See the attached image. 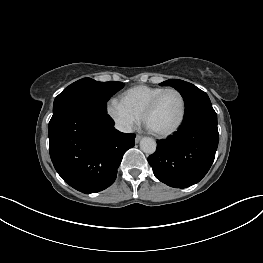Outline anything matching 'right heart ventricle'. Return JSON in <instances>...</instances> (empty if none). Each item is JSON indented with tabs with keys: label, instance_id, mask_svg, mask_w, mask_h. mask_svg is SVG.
Here are the masks:
<instances>
[{
	"label": "right heart ventricle",
	"instance_id": "right-heart-ventricle-1",
	"mask_svg": "<svg viewBox=\"0 0 263 263\" xmlns=\"http://www.w3.org/2000/svg\"><path fill=\"white\" fill-rule=\"evenodd\" d=\"M164 89L147 85L135 86L122 94L121 101L129 110L142 117L149 102Z\"/></svg>",
	"mask_w": 263,
	"mask_h": 263
}]
</instances>
